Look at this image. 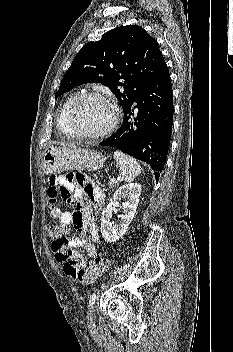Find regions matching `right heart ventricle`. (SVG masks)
<instances>
[{
  "label": "right heart ventricle",
  "mask_w": 233,
  "mask_h": 352,
  "mask_svg": "<svg viewBox=\"0 0 233 352\" xmlns=\"http://www.w3.org/2000/svg\"><path fill=\"white\" fill-rule=\"evenodd\" d=\"M77 96V94H71L63 103L57 117V127L61 133H63L65 136L70 137V131L67 127L66 123V116H67V111L68 108L71 104V102L74 100V98Z\"/></svg>",
  "instance_id": "e07e8e85"
}]
</instances>
